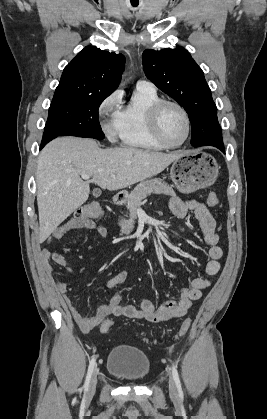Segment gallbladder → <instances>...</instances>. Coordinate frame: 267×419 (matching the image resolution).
<instances>
[{"label": "gallbladder", "instance_id": "1", "mask_svg": "<svg viewBox=\"0 0 267 419\" xmlns=\"http://www.w3.org/2000/svg\"><path fill=\"white\" fill-rule=\"evenodd\" d=\"M93 194H94L95 196H99V195L101 194V191H100L99 189H95V190L93 191Z\"/></svg>", "mask_w": 267, "mask_h": 419}]
</instances>
